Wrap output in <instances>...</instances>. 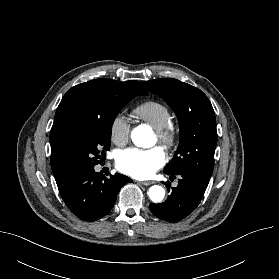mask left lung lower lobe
Instances as JSON below:
<instances>
[{
	"label": "left lung lower lobe",
	"instance_id": "0a47b994",
	"mask_svg": "<svg viewBox=\"0 0 279 279\" xmlns=\"http://www.w3.org/2000/svg\"><path fill=\"white\" fill-rule=\"evenodd\" d=\"M175 177V174H168ZM180 176L177 187H170L166 182L171 194L165 202L160 204L151 203L150 211L158 218L167 222H178L186 218L198 206L209 181L198 177L195 174L183 172Z\"/></svg>",
	"mask_w": 279,
	"mask_h": 279
}]
</instances>
